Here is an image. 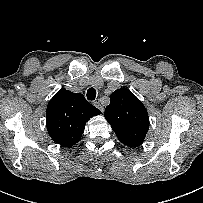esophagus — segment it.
<instances>
[{"label":"esophagus","mask_w":203,"mask_h":203,"mask_svg":"<svg viewBox=\"0 0 203 203\" xmlns=\"http://www.w3.org/2000/svg\"><path fill=\"white\" fill-rule=\"evenodd\" d=\"M94 106L97 107L101 112L104 111L103 106L100 104V102H94Z\"/></svg>","instance_id":"esophagus-1"}]
</instances>
